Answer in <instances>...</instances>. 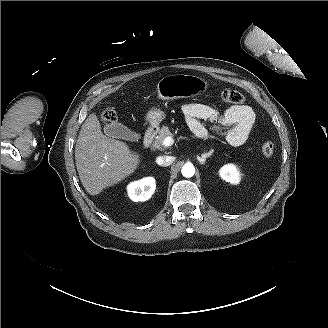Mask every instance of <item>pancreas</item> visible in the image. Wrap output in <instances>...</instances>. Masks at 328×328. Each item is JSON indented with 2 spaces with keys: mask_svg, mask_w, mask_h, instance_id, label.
Returning a JSON list of instances; mask_svg holds the SVG:
<instances>
[{
  "mask_svg": "<svg viewBox=\"0 0 328 328\" xmlns=\"http://www.w3.org/2000/svg\"><path fill=\"white\" fill-rule=\"evenodd\" d=\"M166 137H173V134L171 132V129L168 126H163L159 135L155 138V140L153 142L154 145L157 147H160L163 139ZM211 153L213 155L214 151H211Z\"/></svg>",
  "mask_w": 328,
  "mask_h": 328,
  "instance_id": "pancreas-1",
  "label": "pancreas"
}]
</instances>
